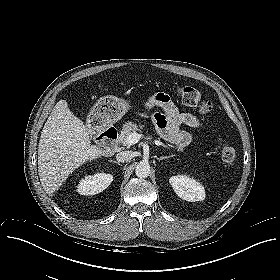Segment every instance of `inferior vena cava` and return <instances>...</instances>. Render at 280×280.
<instances>
[{
  "mask_svg": "<svg viewBox=\"0 0 280 280\" xmlns=\"http://www.w3.org/2000/svg\"><path fill=\"white\" fill-rule=\"evenodd\" d=\"M133 157L132 151H122L116 155L117 161L122 163L130 161Z\"/></svg>",
  "mask_w": 280,
  "mask_h": 280,
  "instance_id": "obj_1",
  "label": "inferior vena cava"
}]
</instances>
